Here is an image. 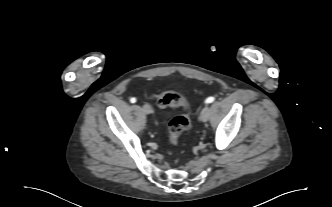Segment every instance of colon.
Returning a JSON list of instances; mask_svg holds the SVG:
<instances>
[{"label": "colon", "instance_id": "obj_1", "mask_svg": "<svg viewBox=\"0 0 332 207\" xmlns=\"http://www.w3.org/2000/svg\"><path fill=\"white\" fill-rule=\"evenodd\" d=\"M157 104L162 108H178L185 105L184 97L175 92L158 94L155 97ZM190 126V119L187 114L174 116L169 122V142L172 146H177L181 134Z\"/></svg>", "mask_w": 332, "mask_h": 207}]
</instances>
